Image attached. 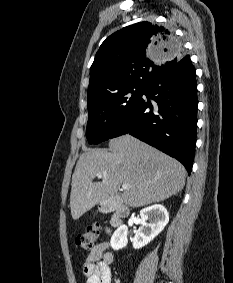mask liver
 Here are the masks:
<instances>
[{
    "label": "liver",
    "instance_id": "obj_1",
    "mask_svg": "<svg viewBox=\"0 0 233 283\" xmlns=\"http://www.w3.org/2000/svg\"><path fill=\"white\" fill-rule=\"evenodd\" d=\"M97 174L101 182H93ZM185 178L184 166L174 158L129 134L114 138L109 150L89 149L80 156L71 183L72 218L112 198L121 184L130 185L123 202L137 208L177 195Z\"/></svg>",
    "mask_w": 233,
    "mask_h": 283
}]
</instances>
